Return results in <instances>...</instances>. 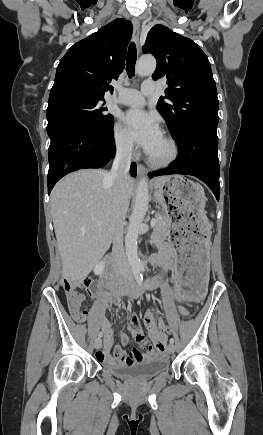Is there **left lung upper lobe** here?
<instances>
[{"label": "left lung upper lobe", "instance_id": "obj_1", "mask_svg": "<svg viewBox=\"0 0 263 435\" xmlns=\"http://www.w3.org/2000/svg\"><path fill=\"white\" fill-rule=\"evenodd\" d=\"M144 53L157 60L154 80L167 79L165 96L157 105L176 137L197 125L217 126L218 98L210 62L201 48L189 38L157 24L148 32Z\"/></svg>", "mask_w": 263, "mask_h": 435}]
</instances>
